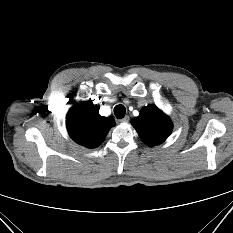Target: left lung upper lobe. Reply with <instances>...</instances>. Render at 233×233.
<instances>
[{
  "mask_svg": "<svg viewBox=\"0 0 233 233\" xmlns=\"http://www.w3.org/2000/svg\"><path fill=\"white\" fill-rule=\"evenodd\" d=\"M141 140L148 146H156L164 142L172 131V122L155 105H148L140 111V115L131 120Z\"/></svg>",
  "mask_w": 233,
  "mask_h": 233,
  "instance_id": "1",
  "label": "left lung upper lobe"
}]
</instances>
